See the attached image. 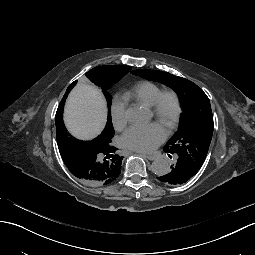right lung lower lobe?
Segmentation results:
<instances>
[{"mask_svg": "<svg viewBox=\"0 0 255 255\" xmlns=\"http://www.w3.org/2000/svg\"><path fill=\"white\" fill-rule=\"evenodd\" d=\"M100 178V157L96 154L82 155L79 160V179L97 181Z\"/></svg>", "mask_w": 255, "mask_h": 255, "instance_id": "1", "label": "right lung lower lobe"}]
</instances>
